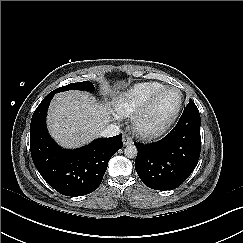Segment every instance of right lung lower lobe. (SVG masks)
Returning a JSON list of instances; mask_svg holds the SVG:
<instances>
[{
  "mask_svg": "<svg viewBox=\"0 0 243 243\" xmlns=\"http://www.w3.org/2000/svg\"><path fill=\"white\" fill-rule=\"evenodd\" d=\"M54 94L50 92L32 116V160L43 179L59 193L65 196L86 195L101 184L110 158L123 146L122 134L96 139L75 150L62 149L49 136L45 123Z\"/></svg>",
  "mask_w": 243,
  "mask_h": 243,
  "instance_id": "1",
  "label": "right lung lower lobe"
}]
</instances>
